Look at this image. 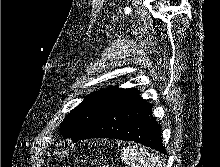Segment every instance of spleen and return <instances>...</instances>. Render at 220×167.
I'll return each instance as SVG.
<instances>
[{
    "mask_svg": "<svg viewBox=\"0 0 220 167\" xmlns=\"http://www.w3.org/2000/svg\"><path fill=\"white\" fill-rule=\"evenodd\" d=\"M124 163L131 167H162L160 158L144 148L127 146L121 151Z\"/></svg>",
    "mask_w": 220,
    "mask_h": 167,
    "instance_id": "spleen-1",
    "label": "spleen"
}]
</instances>
